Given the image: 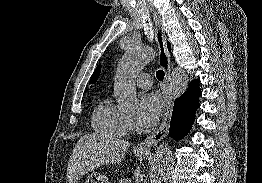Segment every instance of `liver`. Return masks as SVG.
Masks as SVG:
<instances>
[{"label":"liver","instance_id":"liver-1","mask_svg":"<svg viewBox=\"0 0 262 183\" xmlns=\"http://www.w3.org/2000/svg\"><path fill=\"white\" fill-rule=\"evenodd\" d=\"M130 147L128 141L106 134H86L82 136L68 161L69 183H76L83 175L101 165L119 163Z\"/></svg>","mask_w":262,"mask_h":183}]
</instances>
